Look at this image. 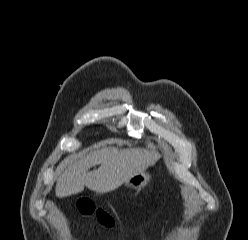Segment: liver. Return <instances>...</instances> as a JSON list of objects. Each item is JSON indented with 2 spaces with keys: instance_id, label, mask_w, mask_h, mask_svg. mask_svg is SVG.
I'll list each match as a JSON object with an SVG mask.
<instances>
[{
  "instance_id": "liver-1",
  "label": "liver",
  "mask_w": 248,
  "mask_h": 240,
  "mask_svg": "<svg viewBox=\"0 0 248 240\" xmlns=\"http://www.w3.org/2000/svg\"><path fill=\"white\" fill-rule=\"evenodd\" d=\"M156 151L142 148H104L88 154L79 161L72 156L58 166L60 176L56 183V196L64 198L84 190L86 186L96 193H107L126 183L132 176L145 171L159 158ZM99 164L96 170L90 167Z\"/></svg>"
}]
</instances>
